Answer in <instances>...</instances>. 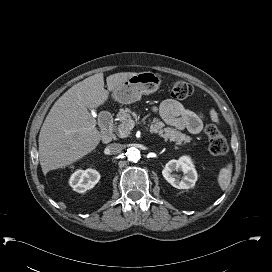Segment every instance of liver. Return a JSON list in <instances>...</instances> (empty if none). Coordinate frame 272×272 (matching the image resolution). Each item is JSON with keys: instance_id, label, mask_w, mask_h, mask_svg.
<instances>
[{"instance_id": "1", "label": "liver", "mask_w": 272, "mask_h": 272, "mask_svg": "<svg viewBox=\"0 0 272 272\" xmlns=\"http://www.w3.org/2000/svg\"><path fill=\"white\" fill-rule=\"evenodd\" d=\"M137 73L122 72L106 78L103 73L90 76L72 86L52 106L39 134V161L44 174L65 167L92 152L102 134L89 109L103 105L109 92Z\"/></svg>"}]
</instances>
